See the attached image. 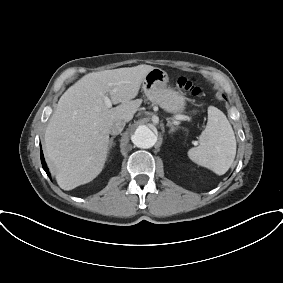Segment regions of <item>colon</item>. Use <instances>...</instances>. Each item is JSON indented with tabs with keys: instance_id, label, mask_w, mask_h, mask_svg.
Wrapping results in <instances>:
<instances>
[{
	"instance_id": "1",
	"label": "colon",
	"mask_w": 283,
	"mask_h": 283,
	"mask_svg": "<svg viewBox=\"0 0 283 283\" xmlns=\"http://www.w3.org/2000/svg\"><path fill=\"white\" fill-rule=\"evenodd\" d=\"M177 86L180 89H183L193 96H199L202 92L201 87L197 83V81L189 76H181L177 79Z\"/></svg>"
}]
</instances>
